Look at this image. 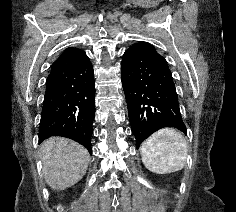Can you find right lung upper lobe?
Segmentation results:
<instances>
[{
	"mask_svg": "<svg viewBox=\"0 0 236 212\" xmlns=\"http://www.w3.org/2000/svg\"><path fill=\"white\" fill-rule=\"evenodd\" d=\"M70 49H72V48H67L64 52H66V51H68V50H70ZM64 52H63V53H64Z\"/></svg>",
	"mask_w": 236,
	"mask_h": 212,
	"instance_id": "right-lung-upper-lobe-1",
	"label": "right lung upper lobe"
}]
</instances>
